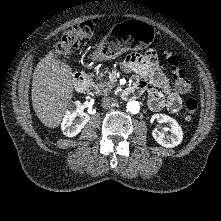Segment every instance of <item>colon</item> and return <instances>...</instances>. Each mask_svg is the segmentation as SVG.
Wrapping results in <instances>:
<instances>
[{
    "instance_id": "colon-1",
    "label": "colon",
    "mask_w": 221,
    "mask_h": 221,
    "mask_svg": "<svg viewBox=\"0 0 221 221\" xmlns=\"http://www.w3.org/2000/svg\"><path fill=\"white\" fill-rule=\"evenodd\" d=\"M97 22L92 19L85 20L74 25L69 30L62 33L58 43L55 46V54L57 56H67L77 48L80 42L86 38L91 37L96 30ZM148 57L155 61L158 54L154 51L147 53ZM172 74L175 86L181 93L189 94L192 91V86L180 68L177 60L170 54L163 56ZM198 109V102L195 98H187L185 101V117L191 119Z\"/></svg>"
}]
</instances>
